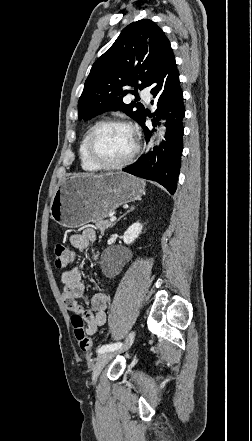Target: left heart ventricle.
<instances>
[{"mask_svg": "<svg viewBox=\"0 0 252 441\" xmlns=\"http://www.w3.org/2000/svg\"><path fill=\"white\" fill-rule=\"evenodd\" d=\"M133 136L123 126H106L97 134L93 150L105 163H117L125 159L133 149Z\"/></svg>", "mask_w": 252, "mask_h": 441, "instance_id": "obj_1", "label": "left heart ventricle"}]
</instances>
